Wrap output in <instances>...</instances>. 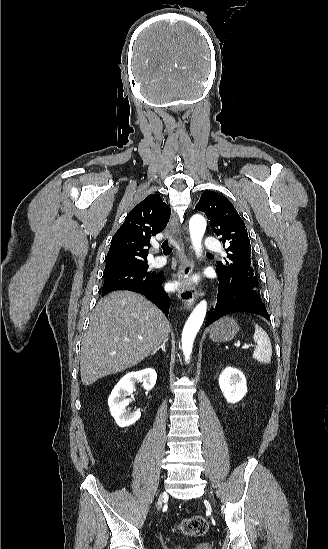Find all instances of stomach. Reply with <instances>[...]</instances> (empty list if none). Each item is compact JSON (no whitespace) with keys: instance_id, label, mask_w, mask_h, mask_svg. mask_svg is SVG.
I'll return each mask as SVG.
<instances>
[{"instance_id":"0dacf381","label":"stomach","mask_w":328,"mask_h":549,"mask_svg":"<svg viewBox=\"0 0 328 549\" xmlns=\"http://www.w3.org/2000/svg\"><path fill=\"white\" fill-rule=\"evenodd\" d=\"M239 329L238 323L231 319V317H222L219 321H216L211 327L210 339L214 343H224V341H232L235 335H237Z\"/></svg>"}]
</instances>
